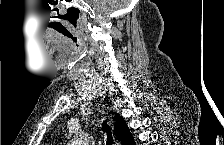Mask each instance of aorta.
Returning a JSON list of instances; mask_svg holds the SVG:
<instances>
[{"label": "aorta", "mask_w": 224, "mask_h": 145, "mask_svg": "<svg viewBox=\"0 0 224 145\" xmlns=\"http://www.w3.org/2000/svg\"><path fill=\"white\" fill-rule=\"evenodd\" d=\"M87 142L86 135L81 134L79 137L76 138V144L78 145H85Z\"/></svg>", "instance_id": "obj_1"}]
</instances>
